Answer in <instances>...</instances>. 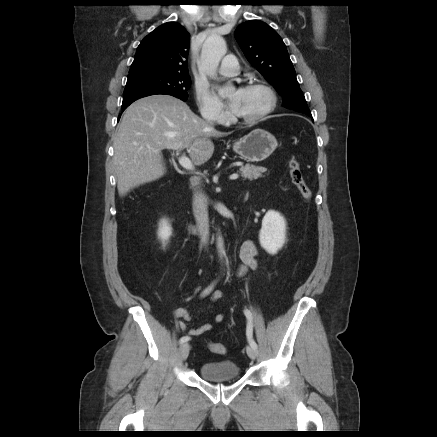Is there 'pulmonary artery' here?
I'll list each match as a JSON object with an SVG mask.
<instances>
[{
	"instance_id": "1",
	"label": "pulmonary artery",
	"mask_w": 437,
	"mask_h": 437,
	"mask_svg": "<svg viewBox=\"0 0 437 437\" xmlns=\"http://www.w3.org/2000/svg\"><path fill=\"white\" fill-rule=\"evenodd\" d=\"M239 65L234 55H227L223 58L219 67V73L223 76L231 77L238 74Z\"/></svg>"
}]
</instances>
